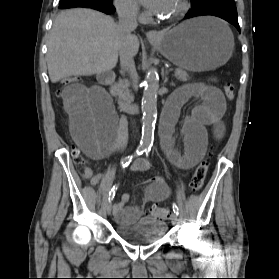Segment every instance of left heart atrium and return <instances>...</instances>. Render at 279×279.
I'll return each mask as SVG.
<instances>
[{"instance_id":"obj_1","label":"left heart atrium","mask_w":279,"mask_h":279,"mask_svg":"<svg viewBox=\"0 0 279 279\" xmlns=\"http://www.w3.org/2000/svg\"><path fill=\"white\" fill-rule=\"evenodd\" d=\"M150 11L159 13L165 5L166 0H140Z\"/></svg>"}]
</instances>
